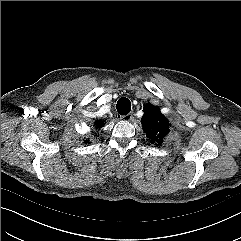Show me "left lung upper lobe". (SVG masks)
I'll return each instance as SVG.
<instances>
[{
	"label": "left lung upper lobe",
	"instance_id": "obj_1",
	"mask_svg": "<svg viewBox=\"0 0 241 241\" xmlns=\"http://www.w3.org/2000/svg\"><path fill=\"white\" fill-rule=\"evenodd\" d=\"M144 108L145 114L142 117L143 129L150 142L158 146L169 132V122L156 106L148 104Z\"/></svg>",
	"mask_w": 241,
	"mask_h": 241
}]
</instances>
